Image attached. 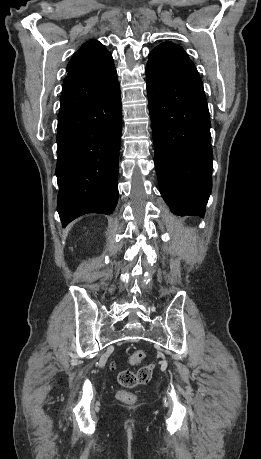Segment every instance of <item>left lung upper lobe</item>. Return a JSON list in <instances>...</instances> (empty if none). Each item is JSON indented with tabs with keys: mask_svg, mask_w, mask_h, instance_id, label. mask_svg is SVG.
Returning <instances> with one entry per match:
<instances>
[{
	"mask_svg": "<svg viewBox=\"0 0 261 459\" xmlns=\"http://www.w3.org/2000/svg\"><path fill=\"white\" fill-rule=\"evenodd\" d=\"M147 65L174 75L200 78L194 63L183 48L171 42L155 47L149 54Z\"/></svg>",
	"mask_w": 261,
	"mask_h": 459,
	"instance_id": "1",
	"label": "left lung upper lobe"
}]
</instances>
